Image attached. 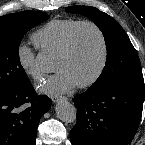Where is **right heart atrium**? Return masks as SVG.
Listing matches in <instances>:
<instances>
[{
  "mask_svg": "<svg viewBox=\"0 0 145 145\" xmlns=\"http://www.w3.org/2000/svg\"><path fill=\"white\" fill-rule=\"evenodd\" d=\"M17 62L20 68L35 81H41L45 71L37 61L36 50L25 43H20L16 49Z\"/></svg>",
  "mask_w": 145,
  "mask_h": 145,
  "instance_id": "1",
  "label": "right heart atrium"
}]
</instances>
